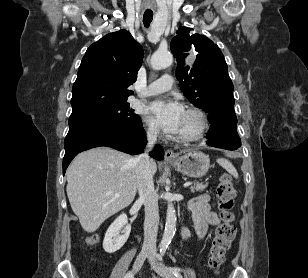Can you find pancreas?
Returning <instances> with one entry per match:
<instances>
[{
    "label": "pancreas",
    "instance_id": "cf45deb5",
    "mask_svg": "<svg viewBox=\"0 0 308 278\" xmlns=\"http://www.w3.org/2000/svg\"><path fill=\"white\" fill-rule=\"evenodd\" d=\"M206 187H207L206 184L196 182V183H194L193 186H191L190 190H191L192 193H194V192H202V191L205 190Z\"/></svg>",
    "mask_w": 308,
    "mask_h": 278
}]
</instances>
